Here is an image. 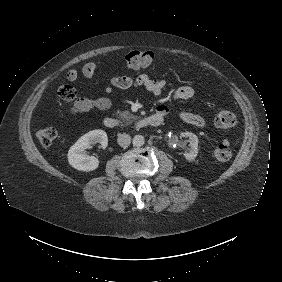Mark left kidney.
I'll use <instances>...</instances> for the list:
<instances>
[{"mask_svg": "<svg viewBox=\"0 0 282 282\" xmlns=\"http://www.w3.org/2000/svg\"><path fill=\"white\" fill-rule=\"evenodd\" d=\"M180 138H188L190 149L184 152V158L189 163H194L197 161L198 155V139L194 133L183 132L180 134Z\"/></svg>", "mask_w": 282, "mask_h": 282, "instance_id": "obj_1", "label": "left kidney"}]
</instances>
